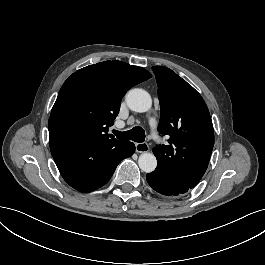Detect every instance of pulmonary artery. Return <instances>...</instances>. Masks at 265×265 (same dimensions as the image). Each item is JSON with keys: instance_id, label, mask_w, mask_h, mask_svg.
<instances>
[{"instance_id": "1", "label": "pulmonary artery", "mask_w": 265, "mask_h": 265, "mask_svg": "<svg viewBox=\"0 0 265 265\" xmlns=\"http://www.w3.org/2000/svg\"><path fill=\"white\" fill-rule=\"evenodd\" d=\"M149 123H150V125H151L152 128H155V127H156V124H157V120H156L155 118L152 117V118L149 119ZM124 126H125L124 123H117V124L115 125L116 129H121V128H123Z\"/></svg>"}]
</instances>
